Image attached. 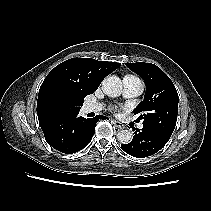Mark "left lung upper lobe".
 <instances>
[{
    "label": "left lung upper lobe",
    "mask_w": 211,
    "mask_h": 211,
    "mask_svg": "<svg viewBox=\"0 0 211 211\" xmlns=\"http://www.w3.org/2000/svg\"><path fill=\"white\" fill-rule=\"evenodd\" d=\"M126 66L145 81L144 100L133 111L140 113L138 121L170 139L176 126L179 97L171 79L156 65L145 62L126 63Z\"/></svg>",
    "instance_id": "1"
}]
</instances>
